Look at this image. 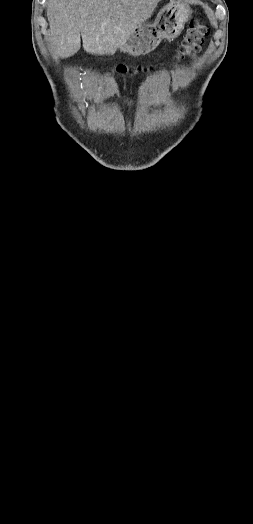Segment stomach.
<instances>
[{"label":"stomach","mask_w":253,"mask_h":524,"mask_svg":"<svg viewBox=\"0 0 253 524\" xmlns=\"http://www.w3.org/2000/svg\"><path fill=\"white\" fill-rule=\"evenodd\" d=\"M191 14V9L179 1L164 6L153 24H141L133 29L127 41L119 49L133 56L154 50L162 39H174L180 35Z\"/></svg>","instance_id":"stomach-1"}]
</instances>
